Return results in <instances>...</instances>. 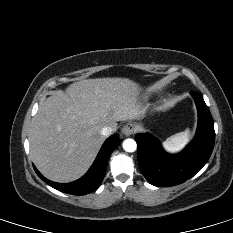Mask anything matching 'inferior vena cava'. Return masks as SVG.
Instances as JSON below:
<instances>
[{
	"instance_id": "obj_1",
	"label": "inferior vena cava",
	"mask_w": 233,
	"mask_h": 233,
	"mask_svg": "<svg viewBox=\"0 0 233 233\" xmlns=\"http://www.w3.org/2000/svg\"><path fill=\"white\" fill-rule=\"evenodd\" d=\"M112 132H113V128L110 126H105L101 129V134L103 136H109L112 134Z\"/></svg>"
}]
</instances>
